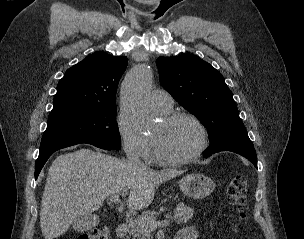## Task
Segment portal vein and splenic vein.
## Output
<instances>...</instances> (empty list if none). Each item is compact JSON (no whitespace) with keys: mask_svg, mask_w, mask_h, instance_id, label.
Instances as JSON below:
<instances>
[{"mask_svg":"<svg viewBox=\"0 0 304 239\" xmlns=\"http://www.w3.org/2000/svg\"><path fill=\"white\" fill-rule=\"evenodd\" d=\"M120 201V197L118 194H113L110 196L109 198V202L110 203H116V202H119ZM169 224V220H163V221H151L150 224H149V227H150V230L154 229V228H157V227H160V226H166Z\"/></svg>","mask_w":304,"mask_h":239,"instance_id":"18ae733b","label":"portal vein and splenic vein"}]
</instances>
